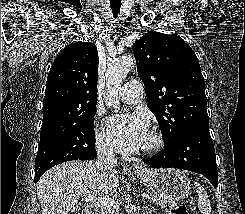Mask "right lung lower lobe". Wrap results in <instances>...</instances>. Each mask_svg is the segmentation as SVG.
<instances>
[{
	"label": "right lung lower lobe",
	"instance_id": "1",
	"mask_svg": "<svg viewBox=\"0 0 245 214\" xmlns=\"http://www.w3.org/2000/svg\"><path fill=\"white\" fill-rule=\"evenodd\" d=\"M97 156V152L94 148V150L92 151V158L91 159H95ZM90 159V160H91ZM44 174V172H39V173H35V177H34V182H38L39 178Z\"/></svg>",
	"mask_w": 245,
	"mask_h": 214
}]
</instances>
